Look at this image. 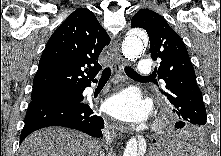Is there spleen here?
<instances>
[{
    "label": "spleen",
    "instance_id": "1",
    "mask_svg": "<svg viewBox=\"0 0 221 156\" xmlns=\"http://www.w3.org/2000/svg\"><path fill=\"white\" fill-rule=\"evenodd\" d=\"M175 143L179 146L184 148L186 151H188L189 153H191V156H204V152L200 149H197L191 145L185 144L183 142L180 141H175Z\"/></svg>",
    "mask_w": 221,
    "mask_h": 156
}]
</instances>
